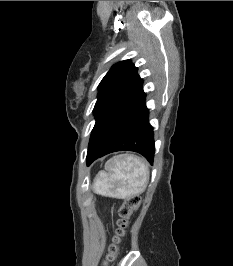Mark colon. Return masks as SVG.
I'll use <instances>...</instances> for the list:
<instances>
[{
	"label": "colon",
	"instance_id": "colon-1",
	"mask_svg": "<svg viewBox=\"0 0 233 266\" xmlns=\"http://www.w3.org/2000/svg\"><path fill=\"white\" fill-rule=\"evenodd\" d=\"M139 204L140 198L138 196H131L126 198L123 204L120 206L118 211L119 219L117 222L115 236L111 245L109 246L108 254L102 266H109V264L115 261L119 253V245L129 225V219L132 213L138 208Z\"/></svg>",
	"mask_w": 233,
	"mask_h": 266
}]
</instances>
